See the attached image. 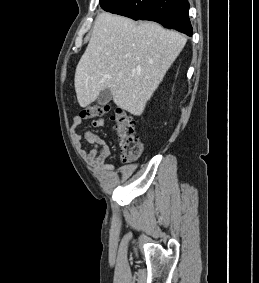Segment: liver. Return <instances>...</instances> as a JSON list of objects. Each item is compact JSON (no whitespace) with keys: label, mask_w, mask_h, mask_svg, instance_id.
<instances>
[{"label":"liver","mask_w":259,"mask_h":283,"mask_svg":"<svg viewBox=\"0 0 259 283\" xmlns=\"http://www.w3.org/2000/svg\"><path fill=\"white\" fill-rule=\"evenodd\" d=\"M186 41L154 22L99 14L75 71L79 105L87 107L110 89L118 107L140 116Z\"/></svg>","instance_id":"1"}]
</instances>
